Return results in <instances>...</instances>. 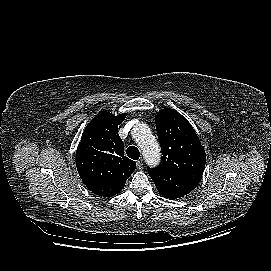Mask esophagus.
Listing matches in <instances>:
<instances>
[{"instance_id": "esophagus-1", "label": "esophagus", "mask_w": 271, "mask_h": 271, "mask_svg": "<svg viewBox=\"0 0 271 271\" xmlns=\"http://www.w3.org/2000/svg\"><path fill=\"white\" fill-rule=\"evenodd\" d=\"M137 168L139 169V170H141L142 169V166H143V161H142V159H139V160H137Z\"/></svg>"}]
</instances>
